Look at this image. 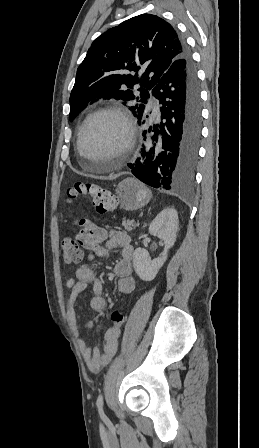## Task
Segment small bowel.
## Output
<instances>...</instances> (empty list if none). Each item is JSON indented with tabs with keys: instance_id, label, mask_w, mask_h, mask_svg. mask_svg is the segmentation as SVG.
I'll list each match as a JSON object with an SVG mask.
<instances>
[{
	"instance_id": "c3829d8e",
	"label": "small bowel",
	"mask_w": 259,
	"mask_h": 448,
	"mask_svg": "<svg viewBox=\"0 0 259 448\" xmlns=\"http://www.w3.org/2000/svg\"><path fill=\"white\" fill-rule=\"evenodd\" d=\"M120 248V260L114 267V275L118 278L117 290L123 295H129L135 288L133 278V254L134 249L128 234L118 230H112L104 244L97 245L93 253L88 256L87 262L79 265L76 269L75 277L69 278L66 282L68 296L65 303L66 316L71 329L79 334L77 326L76 300L78 296L87 289L88 285L92 286V296L90 306L93 310L102 312L106 308V300L102 296L103 285L98 273L90 265L96 258H103L108 255L111 250ZM87 327L92 326V322H87ZM121 328L109 327L104 334V347L100 350L97 347H88L83 339L79 341V348L83 358L92 372H99L102 368L109 364L111 359L117 352L118 339Z\"/></svg>"
}]
</instances>
